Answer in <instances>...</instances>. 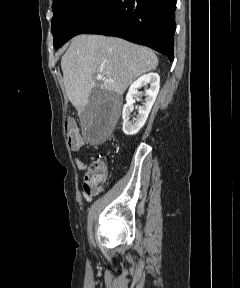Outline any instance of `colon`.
Listing matches in <instances>:
<instances>
[{
  "mask_svg": "<svg viewBox=\"0 0 240 288\" xmlns=\"http://www.w3.org/2000/svg\"><path fill=\"white\" fill-rule=\"evenodd\" d=\"M65 131L68 137V144L72 150L79 149L83 140L79 133L78 127L74 120H67L65 122ZM108 172L105 165L98 161L93 169L89 170L84 177V191L88 195L96 194L106 182Z\"/></svg>",
  "mask_w": 240,
  "mask_h": 288,
  "instance_id": "5ec220e1",
  "label": "colon"
}]
</instances>
